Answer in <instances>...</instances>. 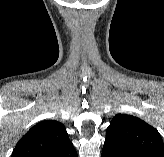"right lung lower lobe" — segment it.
Instances as JSON below:
<instances>
[{"label": "right lung lower lobe", "instance_id": "98d812e1", "mask_svg": "<svg viewBox=\"0 0 164 157\" xmlns=\"http://www.w3.org/2000/svg\"><path fill=\"white\" fill-rule=\"evenodd\" d=\"M50 157H78L76 150L72 143L66 145Z\"/></svg>", "mask_w": 164, "mask_h": 157}]
</instances>
